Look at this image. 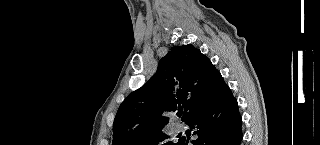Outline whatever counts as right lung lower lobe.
<instances>
[{
    "label": "right lung lower lobe",
    "mask_w": 320,
    "mask_h": 145,
    "mask_svg": "<svg viewBox=\"0 0 320 145\" xmlns=\"http://www.w3.org/2000/svg\"><path fill=\"white\" fill-rule=\"evenodd\" d=\"M207 106L192 116L189 125L198 138L193 145H240L242 140L241 116L230 88L220 76L213 85ZM189 138L182 137L177 145H188Z\"/></svg>",
    "instance_id": "right-lung-lower-lobe-1"
}]
</instances>
